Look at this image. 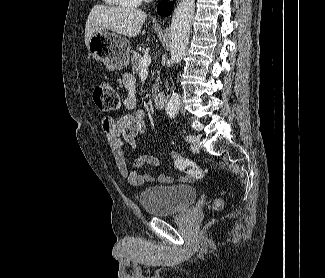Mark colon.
I'll use <instances>...</instances> for the list:
<instances>
[{
	"label": "colon",
	"instance_id": "1",
	"mask_svg": "<svg viewBox=\"0 0 325 278\" xmlns=\"http://www.w3.org/2000/svg\"><path fill=\"white\" fill-rule=\"evenodd\" d=\"M93 101L96 107L102 112L118 111L121 107V97L115 87L108 81L98 82L93 90ZM170 157L174 166L186 174V179H202L205 176V170L189 161L177 152L171 151ZM219 203V202H218Z\"/></svg>",
	"mask_w": 325,
	"mask_h": 278
}]
</instances>
